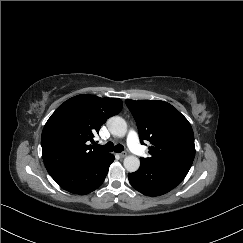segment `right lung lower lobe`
Masks as SVG:
<instances>
[{
	"instance_id": "98d812e1",
	"label": "right lung lower lobe",
	"mask_w": 243,
	"mask_h": 243,
	"mask_svg": "<svg viewBox=\"0 0 243 243\" xmlns=\"http://www.w3.org/2000/svg\"><path fill=\"white\" fill-rule=\"evenodd\" d=\"M114 159L112 154L107 153L79 169L60 173L52 178L59 186L71 193L88 194L103 183Z\"/></svg>"
}]
</instances>
